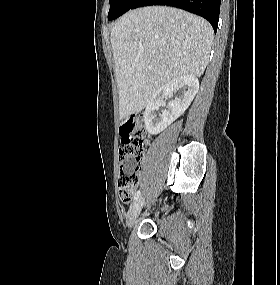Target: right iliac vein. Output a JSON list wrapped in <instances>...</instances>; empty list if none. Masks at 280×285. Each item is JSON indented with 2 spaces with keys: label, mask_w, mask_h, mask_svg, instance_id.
Listing matches in <instances>:
<instances>
[{
  "label": "right iliac vein",
  "mask_w": 280,
  "mask_h": 285,
  "mask_svg": "<svg viewBox=\"0 0 280 285\" xmlns=\"http://www.w3.org/2000/svg\"><path fill=\"white\" fill-rule=\"evenodd\" d=\"M142 206H143V199L140 198L130 207L126 218V224L128 228H131L135 223V220L138 217Z\"/></svg>",
  "instance_id": "1"
}]
</instances>
